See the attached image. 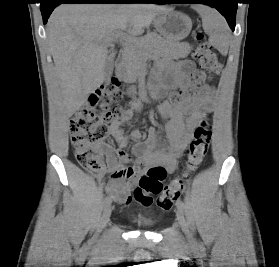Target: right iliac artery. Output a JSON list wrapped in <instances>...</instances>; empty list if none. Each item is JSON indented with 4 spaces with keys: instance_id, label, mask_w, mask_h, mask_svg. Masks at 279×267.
I'll list each match as a JSON object with an SVG mask.
<instances>
[{
    "instance_id": "obj_1",
    "label": "right iliac artery",
    "mask_w": 279,
    "mask_h": 267,
    "mask_svg": "<svg viewBox=\"0 0 279 267\" xmlns=\"http://www.w3.org/2000/svg\"><path fill=\"white\" fill-rule=\"evenodd\" d=\"M111 204V197L110 196H107L105 199H104V205L105 206H108Z\"/></svg>"
}]
</instances>
